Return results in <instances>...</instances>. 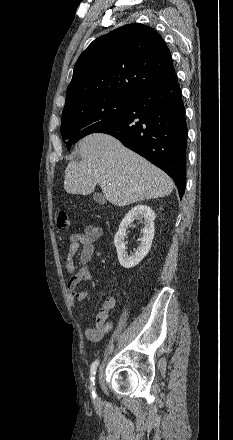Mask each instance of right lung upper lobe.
Returning a JSON list of instances; mask_svg holds the SVG:
<instances>
[{
  "instance_id": "right-lung-upper-lobe-1",
  "label": "right lung upper lobe",
  "mask_w": 233,
  "mask_h": 440,
  "mask_svg": "<svg viewBox=\"0 0 233 440\" xmlns=\"http://www.w3.org/2000/svg\"><path fill=\"white\" fill-rule=\"evenodd\" d=\"M173 73L162 37L149 26L128 24L97 38L80 55L64 107L90 98L130 99Z\"/></svg>"
}]
</instances>
